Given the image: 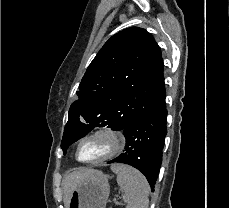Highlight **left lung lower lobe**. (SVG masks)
Listing matches in <instances>:
<instances>
[{
    "label": "left lung lower lobe",
    "mask_w": 229,
    "mask_h": 208,
    "mask_svg": "<svg viewBox=\"0 0 229 208\" xmlns=\"http://www.w3.org/2000/svg\"><path fill=\"white\" fill-rule=\"evenodd\" d=\"M165 97L166 93L123 130L126 138L125 153L108 162L135 167L147 178L152 191L158 178L167 134Z\"/></svg>",
    "instance_id": "0a47b994"
}]
</instances>
